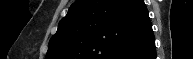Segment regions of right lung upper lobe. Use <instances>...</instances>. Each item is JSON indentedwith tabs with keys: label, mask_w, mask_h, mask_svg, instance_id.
Masks as SVG:
<instances>
[{
	"label": "right lung upper lobe",
	"mask_w": 193,
	"mask_h": 59,
	"mask_svg": "<svg viewBox=\"0 0 193 59\" xmlns=\"http://www.w3.org/2000/svg\"><path fill=\"white\" fill-rule=\"evenodd\" d=\"M152 34L143 0H79L59 22L46 59H120Z\"/></svg>",
	"instance_id": "cb5924a9"
}]
</instances>
